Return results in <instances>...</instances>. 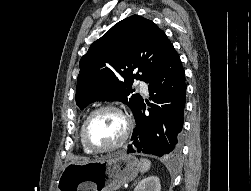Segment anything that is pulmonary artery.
I'll list each match as a JSON object with an SVG mask.
<instances>
[{
  "mask_svg": "<svg viewBox=\"0 0 251 191\" xmlns=\"http://www.w3.org/2000/svg\"><path fill=\"white\" fill-rule=\"evenodd\" d=\"M138 86H139L140 90H141L143 93H145V94L148 93V86H147L146 83H144V82H139Z\"/></svg>",
  "mask_w": 251,
  "mask_h": 191,
  "instance_id": "obj_1",
  "label": "pulmonary artery"
}]
</instances>
